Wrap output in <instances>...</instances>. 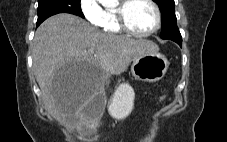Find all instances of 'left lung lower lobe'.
Returning a JSON list of instances; mask_svg holds the SVG:
<instances>
[{
	"label": "left lung lower lobe",
	"instance_id": "left-lung-lower-lobe-1",
	"mask_svg": "<svg viewBox=\"0 0 227 142\" xmlns=\"http://www.w3.org/2000/svg\"><path fill=\"white\" fill-rule=\"evenodd\" d=\"M180 46H182V43H178Z\"/></svg>",
	"mask_w": 227,
	"mask_h": 142
}]
</instances>
